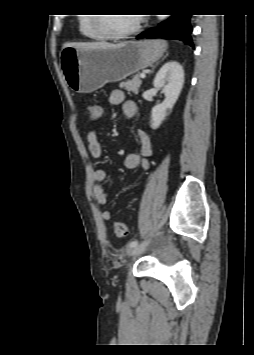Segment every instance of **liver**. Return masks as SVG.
<instances>
[{
    "instance_id": "obj_1",
    "label": "liver",
    "mask_w": 254,
    "mask_h": 355,
    "mask_svg": "<svg viewBox=\"0 0 254 355\" xmlns=\"http://www.w3.org/2000/svg\"><path fill=\"white\" fill-rule=\"evenodd\" d=\"M121 44H111L107 42H79V43H66L64 47H74L77 49H97V48H116L121 46Z\"/></svg>"
}]
</instances>
